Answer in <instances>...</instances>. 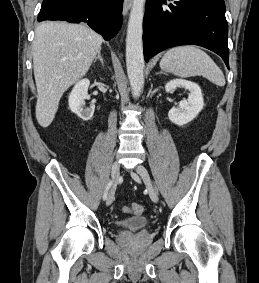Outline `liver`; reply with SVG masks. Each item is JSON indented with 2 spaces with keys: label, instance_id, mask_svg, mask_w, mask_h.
<instances>
[{
  "label": "liver",
  "instance_id": "1",
  "mask_svg": "<svg viewBox=\"0 0 259 283\" xmlns=\"http://www.w3.org/2000/svg\"><path fill=\"white\" fill-rule=\"evenodd\" d=\"M102 42L85 24L49 21L36 28L32 55L41 127L53 122L63 93L85 76Z\"/></svg>",
  "mask_w": 259,
  "mask_h": 283
}]
</instances>
